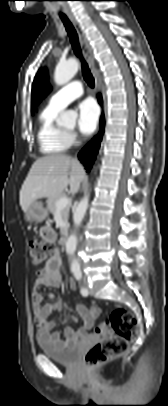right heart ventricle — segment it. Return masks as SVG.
Returning <instances> with one entry per match:
<instances>
[{
  "label": "right heart ventricle",
  "mask_w": 168,
  "mask_h": 406,
  "mask_svg": "<svg viewBox=\"0 0 168 406\" xmlns=\"http://www.w3.org/2000/svg\"><path fill=\"white\" fill-rule=\"evenodd\" d=\"M60 111L61 109L47 105L40 113L37 139L44 154L65 152L72 144L68 132L56 122Z\"/></svg>",
  "instance_id": "obj_1"
}]
</instances>
